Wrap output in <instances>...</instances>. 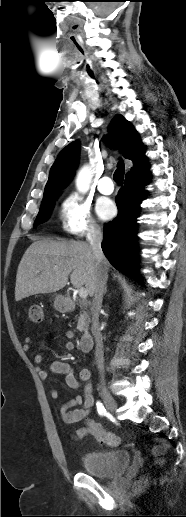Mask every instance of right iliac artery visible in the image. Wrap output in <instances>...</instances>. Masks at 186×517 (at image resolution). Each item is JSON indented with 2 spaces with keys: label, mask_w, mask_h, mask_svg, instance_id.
<instances>
[{
  "label": "right iliac artery",
  "mask_w": 186,
  "mask_h": 517,
  "mask_svg": "<svg viewBox=\"0 0 186 517\" xmlns=\"http://www.w3.org/2000/svg\"><path fill=\"white\" fill-rule=\"evenodd\" d=\"M96 405H97L98 414L101 415V416H104L106 414V409L104 408L102 403L101 402H97Z\"/></svg>",
  "instance_id": "right-iliac-artery-1"
}]
</instances>
